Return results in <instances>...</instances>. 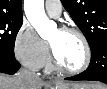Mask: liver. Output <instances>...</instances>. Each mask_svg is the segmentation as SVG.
<instances>
[{
    "label": "liver",
    "instance_id": "obj_1",
    "mask_svg": "<svg viewBox=\"0 0 107 89\" xmlns=\"http://www.w3.org/2000/svg\"><path fill=\"white\" fill-rule=\"evenodd\" d=\"M44 85H46V83L38 77L25 78L19 74L14 76L0 75V89H42ZM55 85H80L82 89H106V86L100 83L65 84L61 81H56Z\"/></svg>",
    "mask_w": 107,
    "mask_h": 89
}]
</instances>
